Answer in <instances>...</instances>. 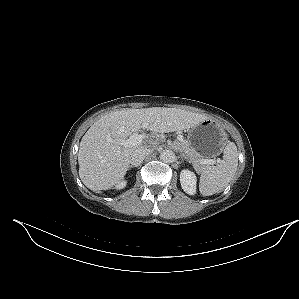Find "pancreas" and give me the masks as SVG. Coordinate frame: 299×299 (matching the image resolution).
I'll return each mask as SVG.
<instances>
[{
  "label": "pancreas",
  "mask_w": 299,
  "mask_h": 299,
  "mask_svg": "<svg viewBox=\"0 0 299 299\" xmlns=\"http://www.w3.org/2000/svg\"><path fill=\"white\" fill-rule=\"evenodd\" d=\"M180 147L186 154L187 159L193 164V166L197 170H202L204 168V165L200 163L201 160H203V158L201 157V155L198 152H196L192 148V146L189 144V142L187 140L181 141Z\"/></svg>",
  "instance_id": "1"
}]
</instances>
